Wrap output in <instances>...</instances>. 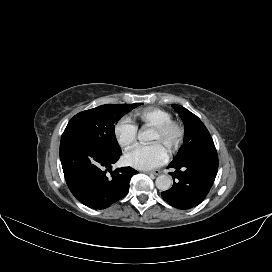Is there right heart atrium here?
Wrapping results in <instances>:
<instances>
[{
  "label": "right heart atrium",
  "instance_id": "obj_1",
  "mask_svg": "<svg viewBox=\"0 0 272 272\" xmlns=\"http://www.w3.org/2000/svg\"><path fill=\"white\" fill-rule=\"evenodd\" d=\"M137 126L129 118H121L114 127V135L118 144L125 148H131L137 140Z\"/></svg>",
  "mask_w": 272,
  "mask_h": 272
}]
</instances>
